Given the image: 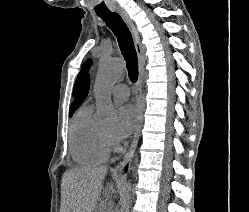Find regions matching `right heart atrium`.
I'll use <instances>...</instances> for the list:
<instances>
[{
	"instance_id": "1",
	"label": "right heart atrium",
	"mask_w": 249,
	"mask_h": 212,
	"mask_svg": "<svg viewBox=\"0 0 249 212\" xmlns=\"http://www.w3.org/2000/svg\"><path fill=\"white\" fill-rule=\"evenodd\" d=\"M102 144L106 151V154H110L112 152V147L106 136H102Z\"/></svg>"
}]
</instances>
